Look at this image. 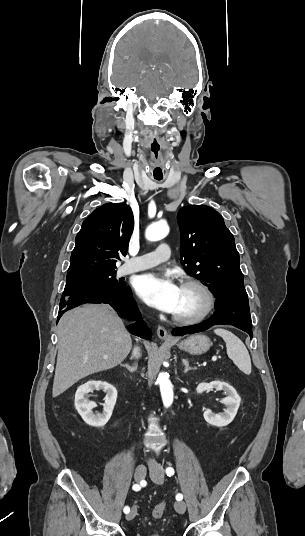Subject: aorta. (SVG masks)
I'll return each instance as SVG.
<instances>
[{"label":"aorta","instance_id":"aorta-1","mask_svg":"<svg viewBox=\"0 0 305 536\" xmlns=\"http://www.w3.org/2000/svg\"><path fill=\"white\" fill-rule=\"evenodd\" d=\"M169 233V226L165 222H157L147 227L145 236L148 241L155 242L165 238ZM157 383L160 387L163 405L168 408L173 403V385L164 372L159 373Z\"/></svg>","mask_w":305,"mask_h":536}]
</instances>
